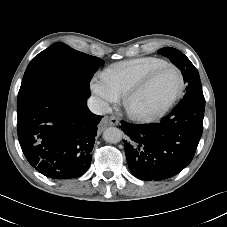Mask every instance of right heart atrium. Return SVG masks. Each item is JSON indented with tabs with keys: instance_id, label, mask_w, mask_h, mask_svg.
Masks as SVG:
<instances>
[{
	"instance_id": "right-heart-atrium-1",
	"label": "right heart atrium",
	"mask_w": 227,
	"mask_h": 227,
	"mask_svg": "<svg viewBox=\"0 0 227 227\" xmlns=\"http://www.w3.org/2000/svg\"><path fill=\"white\" fill-rule=\"evenodd\" d=\"M90 89L103 109H107L111 104L116 103L120 97L104 73L92 78Z\"/></svg>"
}]
</instances>
